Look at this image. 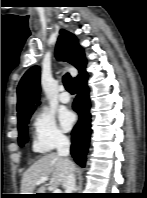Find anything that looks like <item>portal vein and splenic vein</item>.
Instances as JSON below:
<instances>
[{
	"label": "portal vein and splenic vein",
	"mask_w": 147,
	"mask_h": 198,
	"mask_svg": "<svg viewBox=\"0 0 147 198\" xmlns=\"http://www.w3.org/2000/svg\"><path fill=\"white\" fill-rule=\"evenodd\" d=\"M49 178L48 177H42L41 179H39L36 184L39 185L41 183H44L45 181H47ZM54 193H62V191L60 189H55L53 191Z\"/></svg>",
	"instance_id": "portal-vein-and-splenic-vein-1"
}]
</instances>
